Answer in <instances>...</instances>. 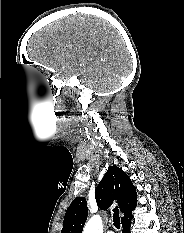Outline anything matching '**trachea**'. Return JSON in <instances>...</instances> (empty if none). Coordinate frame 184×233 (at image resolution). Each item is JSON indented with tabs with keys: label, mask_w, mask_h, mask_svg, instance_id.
<instances>
[{
	"label": "trachea",
	"mask_w": 184,
	"mask_h": 233,
	"mask_svg": "<svg viewBox=\"0 0 184 233\" xmlns=\"http://www.w3.org/2000/svg\"><path fill=\"white\" fill-rule=\"evenodd\" d=\"M113 222H114V226L117 229H119L120 228V217H119V210L117 206L113 209Z\"/></svg>",
	"instance_id": "obj_1"
}]
</instances>
